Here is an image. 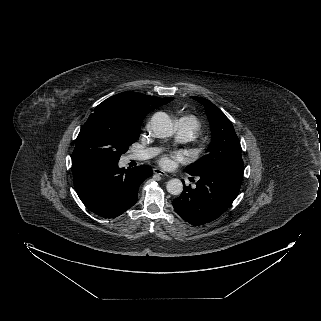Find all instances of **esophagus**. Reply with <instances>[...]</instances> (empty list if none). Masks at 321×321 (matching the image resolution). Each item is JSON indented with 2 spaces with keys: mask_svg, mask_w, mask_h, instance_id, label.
Wrapping results in <instances>:
<instances>
[{
  "mask_svg": "<svg viewBox=\"0 0 321 321\" xmlns=\"http://www.w3.org/2000/svg\"><path fill=\"white\" fill-rule=\"evenodd\" d=\"M154 174H158L161 176H168V174L166 172H164L163 170L159 169V168H154L153 169Z\"/></svg>",
  "mask_w": 321,
  "mask_h": 321,
  "instance_id": "esophagus-1",
  "label": "esophagus"
}]
</instances>
